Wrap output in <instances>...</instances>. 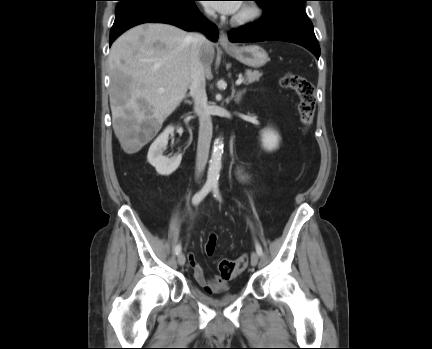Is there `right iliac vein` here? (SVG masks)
I'll use <instances>...</instances> for the list:
<instances>
[{
    "instance_id": "obj_1",
    "label": "right iliac vein",
    "mask_w": 432,
    "mask_h": 349,
    "mask_svg": "<svg viewBox=\"0 0 432 349\" xmlns=\"http://www.w3.org/2000/svg\"><path fill=\"white\" fill-rule=\"evenodd\" d=\"M185 261H186V259H185V256H184V254L183 253H180L179 255H178V263H179V265H184L185 264Z\"/></svg>"
}]
</instances>
